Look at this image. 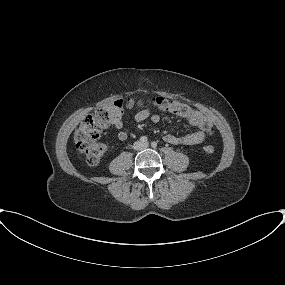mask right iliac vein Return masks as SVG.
<instances>
[{
    "mask_svg": "<svg viewBox=\"0 0 285 285\" xmlns=\"http://www.w3.org/2000/svg\"><path fill=\"white\" fill-rule=\"evenodd\" d=\"M143 148V146L141 145V143H136L135 144V149H137V150H141Z\"/></svg>",
    "mask_w": 285,
    "mask_h": 285,
    "instance_id": "right-iliac-vein-1",
    "label": "right iliac vein"
}]
</instances>
